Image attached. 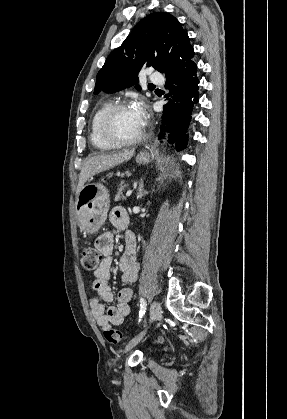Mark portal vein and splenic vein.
I'll return each instance as SVG.
<instances>
[{"label":"portal vein and splenic vein","instance_id":"obj_1","mask_svg":"<svg viewBox=\"0 0 287 419\" xmlns=\"http://www.w3.org/2000/svg\"><path fill=\"white\" fill-rule=\"evenodd\" d=\"M132 194V190L127 191L126 196H130Z\"/></svg>","mask_w":287,"mask_h":419}]
</instances>
